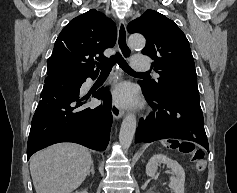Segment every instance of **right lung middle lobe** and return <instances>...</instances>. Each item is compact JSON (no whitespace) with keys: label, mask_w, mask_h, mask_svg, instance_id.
Returning a JSON list of instances; mask_svg holds the SVG:
<instances>
[{"label":"right lung middle lobe","mask_w":237,"mask_h":193,"mask_svg":"<svg viewBox=\"0 0 237 193\" xmlns=\"http://www.w3.org/2000/svg\"><path fill=\"white\" fill-rule=\"evenodd\" d=\"M47 72H54V73H57V74L62 75V76H67V74L62 73L60 71H47Z\"/></svg>","instance_id":"dd1d6c3e"}]
</instances>
